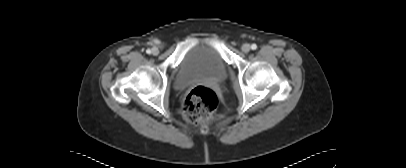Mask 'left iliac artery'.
<instances>
[{
	"label": "left iliac artery",
	"mask_w": 406,
	"mask_h": 168,
	"mask_svg": "<svg viewBox=\"0 0 406 168\" xmlns=\"http://www.w3.org/2000/svg\"><path fill=\"white\" fill-rule=\"evenodd\" d=\"M251 49H252V50H256V49H257V45H256V44H252V45H251Z\"/></svg>",
	"instance_id": "obj_1"
}]
</instances>
